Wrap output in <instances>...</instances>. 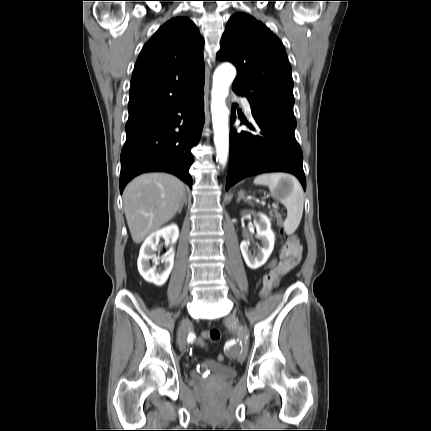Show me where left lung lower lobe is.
I'll return each instance as SVG.
<instances>
[{
  "label": "left lung lower lobe",
  "mask_w": 431,
  "mask_h": 431,
  "mask_svg": "<svg viewBox=\"0 0 431 431\" xmlns=\"http://www.w3.org/2000/svg\"><path fill=\"white\" fill-rule=\"evenodd\" d=\"M237 93V92H236ZM239 94V93H237ZM233 105L231 121L236 120ZM255 124H247L252 132L230 133V158L226 189L241 179L265 172L294 174L306 189L302 150L295 139L296 120L282 114L251 106Z\"/></svg>",
  "instance_id": "0a47b994"
}]
</instances>
